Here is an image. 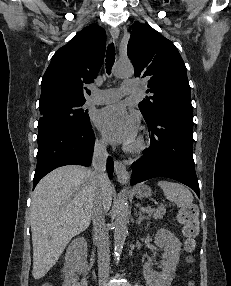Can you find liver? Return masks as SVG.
Returning <instances> with one entry per match:
<instances>
[{
  "mask_svg": "<svg viewBox=\"0 0 231 286\" xmlns=\"http://www.w3.org/2000/svg\"><path fill=\"white\" fill-rule=\"evenodd\" d=\"M98 185L93 171L63 166L47 174L36 186L31 203L34 279L55 265L70 240L88 228ZM104 206L110 209L113 187L101 188Z\"/></svg>",
  "mask_w": 231,
  "mask_h": 286,
  "instance_id": "liver-1",
  "label": "liver"
}]
</instances>
